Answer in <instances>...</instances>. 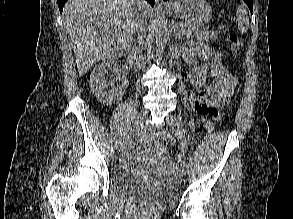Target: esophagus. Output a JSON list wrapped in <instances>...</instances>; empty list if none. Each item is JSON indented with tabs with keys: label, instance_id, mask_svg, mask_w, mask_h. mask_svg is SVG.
I'll list each match as a JSON object with an SVG mask.
<instances>
[{
	"label": "esophagus",
	"instance_id": "esophagus-1",
	"mask_svg": "<svg viewBox=\"0 0 293 219\" xmlns=\"http://www.w3.org/2000/svg\"><path fill=\"white\" fill-rule=\"evenodd\" d=\"M156 2L161 4L163 3L162 0H156Z\"/></svg>",
	"mask_w": 293,
	"mask_h": 219
}]
</instances>
